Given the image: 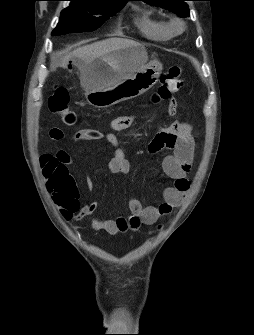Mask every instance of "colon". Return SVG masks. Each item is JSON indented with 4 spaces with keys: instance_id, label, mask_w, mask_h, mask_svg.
I'll list each match as a JSON object with an SVG mask.
<instances>
[{
    "instance_id": "obj_1",
    "label": "colon",
    "mask_w": 254,
    "mask_h": 335,
    "mask_svg": "<svg viewBox=\"0 0 254 335\" xmlns=\"http://www.w3.org/2000/svg\"><path fill=\"white\" fill-rule=\"evenodd\" d=\"M183 86L182 70L178 66L170 68L162 75V84L153 95V101H169L174 92ZM48 106L51 113L62 118L67 125H73L76 115L70 108V95L66 88L57 87L48 98ZM171 140V138H168ZM43 172L47 178L49 191H55L58 201H65L68 196H77L72 188L71 180L66 176L65 169L61 166L58 154L44 155L41 159Z\"/></svg>"
}]
</instances>
